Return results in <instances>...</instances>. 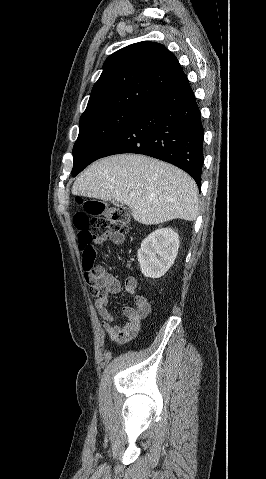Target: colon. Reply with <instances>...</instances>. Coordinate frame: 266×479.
<instances>
[{
    "instance_id": "obj_1",
    "label": "colon",
    "mask_w": 266,
    "mask_h": 479,
    "mask_svg": "<svg viewBox=\"0 0 266 479\" xmlns=\"http://www.w3.org/2000/svg\"><path fill=\"white\" fill-rule=\"evenodd\" d=\"M83 210L75 213L73 224L77 231L78 246L82 253V269L93 296L98 294L96 281L92 274L96 249L91 245V229L108 230L125 237L128 233V211L119 206L109 205L97 199H79Z\"/></svg>"
}]
</instances>
